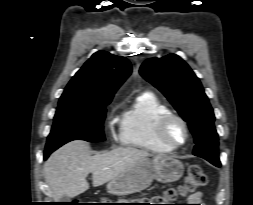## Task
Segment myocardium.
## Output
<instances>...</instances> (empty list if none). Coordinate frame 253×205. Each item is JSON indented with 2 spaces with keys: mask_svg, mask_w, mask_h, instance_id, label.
I'll list each match as a JSON object with an SVG mask.
<instances>
[{
  "mask_svg": "<svg viewBox=\"0 0 253 205\" xmlns=\"http://www.w3.org/2000/svg\"><path fill=\"white\" fill-rule=\"evenodd\" d=\"M175 122L179 123L184 131V139L180 142L173 141L168 134L170 126ZM156 136L161 144L173 150L182 147L187 143L189 139V127L187 122L181 116L171 113L164 116L159 121L156 128Z\"/></svg>",
  "mask_w": 253,
  "mask_h": 205,
  "instance_id": "f54148a6",
  "label": "myocardium"
}]
</instances>
